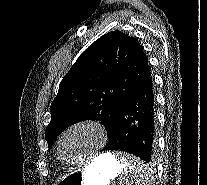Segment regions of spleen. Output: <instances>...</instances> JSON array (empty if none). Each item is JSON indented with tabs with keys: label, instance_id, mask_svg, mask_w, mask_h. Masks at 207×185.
<instances>
[{
	"label": "spleen",
	"instance_id": "1",
	"mask_svg": "<svg viewBox=\"0 0 207 185\" xmlns=\"http://www.w3.org/2000/svg\"><path fill=\"white\" fill-rule=\"evenodd\" d=\"M135 157V153H116L122 167L117 185H147V179H155V174H149L150 166H146L143 159H133Z\"/></svg>",
	"mask_w": 207,
	"mask_h": 185
}]
</instances>
